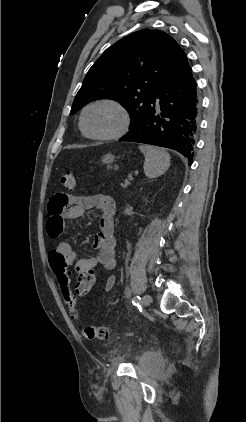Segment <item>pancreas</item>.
Returning a JSON list of instances; mask_svg holds the SVG:
<instances>
[{"mask_svg":"<svg viewBox=\"0 0 246 422\" xmlns=\"http://www.w3.org/2000/svg\"><path fill=\"white\" fill-rule=\"evenodd\" d=\"M127 181H128V180H126L124 184H121V186H122V187H126V186H128L130 183H129V184H126V182H127Z\"/></svg>","mask_w":246,"mask_h":422,"instance_id":"1","label":"pancreas"}]
</instances>
